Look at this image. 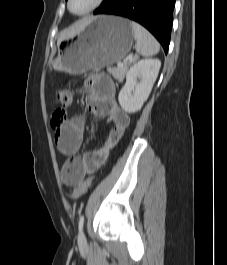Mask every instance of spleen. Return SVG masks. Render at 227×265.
Wrapping results in <instances>:
<instances>
[{
  "label": "spleen",
  "instance_id": "1",
  "mask_svg": "<svg viewBox=\"0 0 227 265\" xmlns=\"http://www.w3.org/2000/svg\"><path fill=\"white\" fill-rule=\"evenodd\" d=\"M131 26L134 32L135 49L142 56L149 57L156 55L160 50L158 41L144 27L132 21Z\"/></svg>",
  "mask_w": 227,
  "mask_h": 265
}]
</instances>
